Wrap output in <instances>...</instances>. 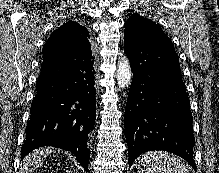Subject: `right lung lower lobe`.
Here are the masks:
<instances>
[{"instance_id":"98d812e1","label":"right lung lower lobe","mask_w":219,"mask_h":173,"mask_svg":"<svg viewBox=\"0 0 219 173\" xmlns=\"http://www.w3.org/2000/svg\"><path fill=\"white\" fill-rule=\"evenodd\" d=\"M84 56L75 55L63 65L42 62L21 158L36 148L52 146L71 151L88 170L96 99L92 55Z\"/></svg>"}]
</instances>
